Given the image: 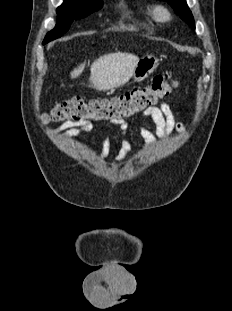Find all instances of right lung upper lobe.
I'll return each instance as SVG.
<instances>
[{
    "label": "right lung upper lobe",
    "mask_w": 232,
    "mask_h": 311,
    "mask_svg": "<svg viewBox=\"0 0 232 311\" xmlns=\"http://www.w3.org/2000/svg\"><path fill=\"white\" fill-rule=\"evenodd\" d=\"M65 1H72V0H65ZM92 1H101V0H92Z\"/></svg>",
    "instance_id": "1"
}]
</instances>
